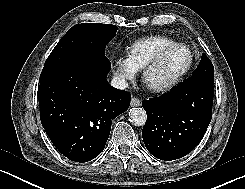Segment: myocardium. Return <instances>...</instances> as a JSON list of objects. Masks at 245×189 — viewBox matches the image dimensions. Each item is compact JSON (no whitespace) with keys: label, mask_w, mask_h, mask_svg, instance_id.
Segmentation results:
<instances>
[{"label":"myocardium","mask_w":245,"mask_h":189,"mask_svg":"<svg viewBox=\"0 0 245 189\" xmlns=\"http://www.w3.org/2000/svg\"><path fill=\"white\" fill-rule=\"evenodd\" d=\"M177 48H185L189 52V61L186 67L174 79H172L168 83L162 85H155V86L149 85L147 79L150 72L153 71L163 61V59L166 57L168 53H170L171 51ZM193 64H194V53L191 50V48L183 43H174L161 49L158 52V54L144 66L143 73H142V80L152 92L155 93L167 92L172 90L176 86H178L185 79V77L191 71Z\"/></svg>","instance_id":"myocardium-1"}]
</instances>
